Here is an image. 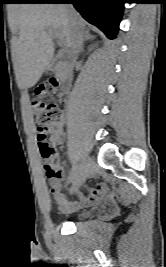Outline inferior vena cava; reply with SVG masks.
I'll list each match as a JSON object with an SVG mask.
<instances>
[{
  "label": "inferior vena cava",
  "mask_w": 166,
  "mask_h": 267,
  "mask_svg": "<svg viewBox=\"0 0 166 267\" xmlns=\"http://www.w3.org/2000/svg\"><path fill=\"white\" fill-rule=\"evenodd\" d=\"M69 5H67L68 7ZM70 48L73 56L79 54L82 50L83 31L76 22H71L69 31Z\"/></svg>",
  "instance_id": "1"
}]
</instances>
